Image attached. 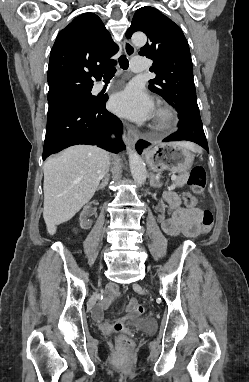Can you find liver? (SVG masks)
<instances>
[{"mask_svg": "<svg viewBox=\"0 0 249 382\" xmlns=\"http://www.w3.org/2000/svg\"><path fill=\"white\" fill-rule=\"evenodd\" d=\"M181 144L195 148L192 143ZM109 159L99 147L75 145L45 161L43 218L50 235L90 201L108 170Z\"/></svg>", "mask_w": 249, "mask_h": 382, "instance_id": "obj_1", "label": "liver"}]
</instances>
